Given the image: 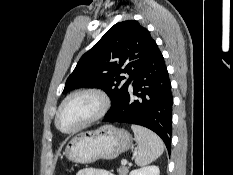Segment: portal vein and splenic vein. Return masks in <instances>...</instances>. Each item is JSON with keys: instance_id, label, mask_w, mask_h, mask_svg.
<instances>
[{"instance_id": "1", "label": "portal vein and splenic vein", "mask_w": 233, "mask_h": 175, "mask_svg": "<svg viewBox=\"0 0 233 175\" xmlns=\"http://www.w3.org/2000/svg\"><path fill=\"white\" fill-rule=\"evenodd\" d=\"M121 164H122V165H126V164H127V160H125V159L122 160V161H121Z\"/></svg>"}]
</instances>
